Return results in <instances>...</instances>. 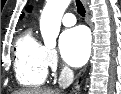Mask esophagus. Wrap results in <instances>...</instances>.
<instances>
[{
    "instance_id": "obj_1",
    "label": "esophagus",
    "mask_w": 121,
    "mask_h": 94,
    "mask_svg": "<svg viewBox=\"0 0 121 94\" xmlns=\"http://www.w3.org/2000/svg\"><path fill=\"white\" fill-rule=\"evenodd\" d=\"M82 2L84 4L86 11H87V14H88L87 0H82Z\"/></svg>"
}]
</instances>
